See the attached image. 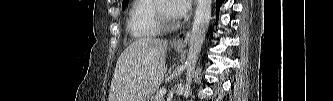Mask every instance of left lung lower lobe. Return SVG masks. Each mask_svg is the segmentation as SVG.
Segmentation results:
<instances>
[{
  "mask_svg": "<svg viewBox=\"0 0 333 101\" xmlns=\"http://www.w3.org/2000/svg\"><path fill=\"white\" fill-rule=\"evenodd\" d=\"M222 1H223V0H216V10H217L216 24H217V22H218L219 9H220V6H221V4H222Z\"/></svg>",
  "mask_w": 333,
  "mask_h": 101,
  "instance_id": "left-lung-lower-lobe-1",
  "label": "left lung lower lobe"
}]
</instances>
